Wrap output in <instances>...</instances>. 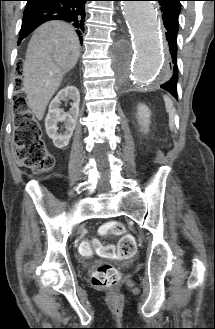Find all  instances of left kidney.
<instances>
[{"mask_svg": "<svg viewBox=\"0 0 215 329\" xmlns=\"http://www.w3.org/2000/svg\"><path fill=\"white\" fill-rule=\"evenodd\" d=\"M138 119H139V124L141 125V129L142 131H144V133L148 132V127H149V123H150V115L151 112L148 109V107L144 104H139L138 107Z\"/></svg>", "mask_w": 215, "mask_h": 329, "instance_id": "5707ae66", "label": "left kidney"}]
</instances>
